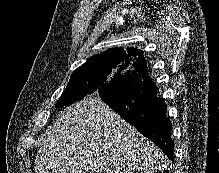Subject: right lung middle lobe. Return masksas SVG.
Here are the masks:
<instances>
[{"mask_svg":"<svg viewBox=\"0 0 219 173\" xmlns=\"http://www.w3.org/2000/svg\"><path fill=\"white\" fill-rule=\"evenodd\" d=\"M135 71L131 66L111 61L98 66H85L73 72L70 81L55 107H63L81 100L87 94L107 93L119 88L125 77Z\"/></svg>","mask_w":219,"mask_h":173,"instance_id":"right-lung-middle-lobe-1","label":"right lung middle lobe"}]
</instances>
